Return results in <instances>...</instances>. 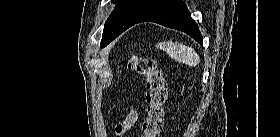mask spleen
Here are the masks:
<instances>
[{"instance_id": "1", "label": "spleen", "mask_w": 280, "mask_h": 137, "mask_svg": "<svg viewBox=\"0 0 280 137\" xmlns=\"http://www.w3.org/2000/svg\"><path fill=\"white\" fill-rule=\"evenodd\" d=\"M156 47L165 51L172 59L179 63L195 66L200 62L196 51L183 43L164 41L158 43Z\"/></svg>"}]
</instances>
